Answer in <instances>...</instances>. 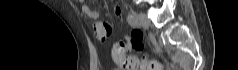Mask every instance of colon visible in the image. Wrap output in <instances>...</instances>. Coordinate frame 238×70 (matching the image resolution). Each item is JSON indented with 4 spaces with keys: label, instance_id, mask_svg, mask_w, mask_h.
<instances>
[{
    "label": "colon",
    "instance_id": "5ec220e1",
    "mask_svg": "<svg viewBox=\"0 0 238 70\" xmlns=\"http://www.w3.org/2000/svg\"><path fill=\"white\" fill-rule=\"evenodd\" d=\"M142 37L143 33L140 30H133L131 33H128L127 36H119V41L123 42H113L111 46L112 59H115L123 70H161V65L156 61H151L146 58L139 60L131 56V54H125L126 44L128 43L130 48L142 49Z\"/></svg>",
    "mask_w": 238,
    "mask_h": 70
}]
</instances>
